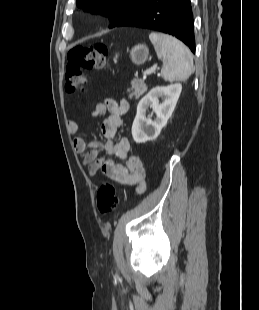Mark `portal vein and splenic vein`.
<instances>
[{"label":"portal vein and splenic vein","instance_id":"1","mask_svg":"<svg viewBox=\"0 0 259 310\" xmlns=\"http://www.w3.org/2000/svg\"><path fill=\"white\" fill-rule=\"evenodd\" d=\"M156 69H157V66H156V65L152 66V67L149 68V69H146V70L143 72V77H147V76L153 74V73L156 71Z\"/></svg>","mask_w":259,"mask_h":310}]
</instances>
